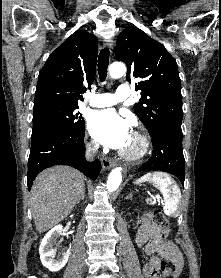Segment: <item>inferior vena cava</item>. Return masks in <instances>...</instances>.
Wrapping results in <instances>:
<instances>
[{
	"label": "inferior vena cava",
	"mask_w": 221,
	"mask_h": 278,
	"mask_svg": "<svg viewBox=\"0 0 221 278\" xmlns=\"http://www.w3.org/2000/svg\"><path fill=\"white\" fill-rule=\"evenodd\" d=\"M94 154H95V150L87 151V152H86V158H87L88 160H93Z\"/></svg>",
	"instance_id": "inferior-vena-cava-1"
}]
</instances>
